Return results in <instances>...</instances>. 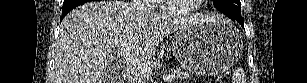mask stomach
<instances>
[{"mask_svg":"<svg viewBox=\"0 0 307 83\" xmlns=\"http://www.w3.org/2000/svg\"><path fill=\"white\" fill-rule=\"evenodd\" d=\"M172 50L181 66L198 75L213 76L235 64L243 51V39L228 22H199L179 29Z\"/></svg>","mask_w":307,"mask_h":83,"instance_id":"stomach-1","label":"stomach"}]
</instances>
